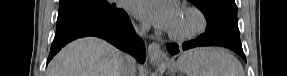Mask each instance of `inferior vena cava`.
I'll list each match as a JSON object with an SVG mask.
<instances>
[{"instance_id":"602c4592","label":"inferior vena cava","mask_w":287,"mask_h":76,"mask_svg":"<svg viewBox=\"0 0 287 76\" xmlns=\"http://www.w3.org/2000/svg\"><path fill=\"white\" fill-rule=\"evenodd\" d=\"M150 26L148 24L142 25L139 29H137V33L141 36L145 35L147 31H149ZM135 74V59L131 56L127 55L126 63L122 69V76H134Z\"/></svg>"}]
</instances>
